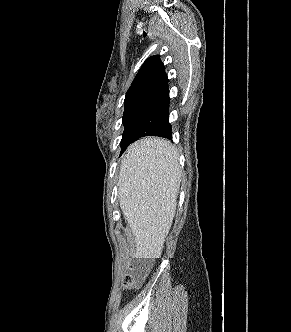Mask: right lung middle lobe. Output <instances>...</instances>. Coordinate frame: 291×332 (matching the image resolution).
Wrapping results in <instances>:
<instances>
[{
	"label": "right lung middle lobe",
	"mask_w": 291,
	"mask_h": 332,
	"mask_svg": "<svg viewBox=\"0 0 291 332\" xmlns=\"http://www.w3.org/2000/svg\"><path fill=\"white\" fill-rule=\"evenodd\" d=\"M146 97H134V98H129V99H125L124 104H125V108H124V113H123V124L126 127L128 126V124L131 122L137 107L140 105V103L145 99ZM124 129V131H125ZM124 135V132H123ZM124 142V137H122V141H121V145Z\"/></svg>",
	"instance_id": "right-lung-middle-lobe-1"
}]
</instances>
